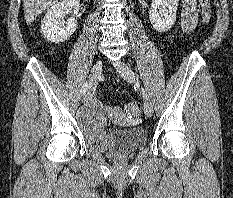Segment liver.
Listing matches in <instances>:
<instances>
[{"instance_id": "1", "label": "liver", "mask_w": 233, "mask_h": 198, "mask_svg": "<svg viewBox=\"0 0 233 198\" xmlns=\"http://www.w3.org/2000/svg\"><path fill=\"white\" fill-rule=\"evenodd\" d=\"M59 0H23L25 20L30 25L38 15Z\"/></svg>"}]
</instances>
